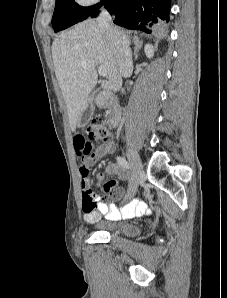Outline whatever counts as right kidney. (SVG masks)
Wrapping results in <instances>:
<instances>
[{"instance_id":"ca27d5eb","label":"right kidney","mask_w":227,"mask_h":298,"mask_svg":"<svg viewBox=\"0 0 227 298\" xmlns=\"http://www.w3.org/2000/svg\"><path fill=\"white\" fill-rule=\"evenodd\" d=\"M144 51L147 58L151 59L154 56V48L151 44H146Z\"/></svg>"}]
</instances>
